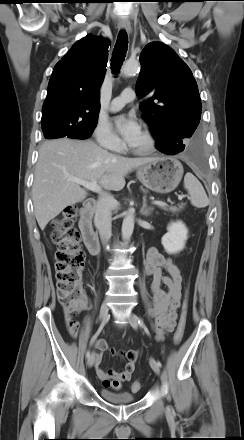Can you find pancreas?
<instances>
[{
  "label": "pancreas",
  "instance_id": "cf45deb5",
  "mask_svg": "<svg viewBox=\"0 0 244 440\" xmlns=\"http://www.w3.org/2000/svg\"><path fill=\"white\" fill-rule=\"evenodd\" d=\"M185 206V204H181V205H179V207H169V208H167V207H165V206H160L163 210H166V211H171V212H173V213H176V212H178V211H180L181 209H183V207Z\"/></svg>",
  "mask_w": 244,
  "mask_h": 440
}]
</instances>
